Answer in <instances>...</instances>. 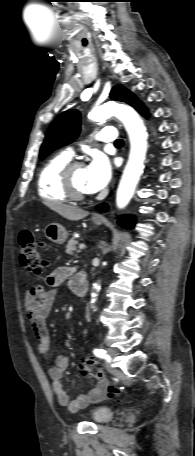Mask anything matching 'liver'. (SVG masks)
Returning a JSON list of instances; mask_svg holds the SVG:
<instances>
[{"label":"liver","instance_id":"liver-1","mask_svg":"<svg viewBox=\"0 0 195 456\" xmlns=\"http://www.w3.org/2000/svg\"><path fill=\"white\" fill-rule=\"evenodd\" d=\"M43 204L71 221H78L89 215L88 211L61 202L45 201Z\"/></svg>","mask_w":195,"mask_h":456}]
</instances>
